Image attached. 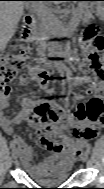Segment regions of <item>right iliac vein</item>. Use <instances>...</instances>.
Returning <instances> with one entry per match:
<instances>
[{
	"instance_id": "1",
	"label": "right iliac vein",
	"mask_w": 104,
	"mask_h": 189,
	"mask_svg": "<svg viewBox=\"0 0 104 189\" xmlns=\"http://www.w3.org/2000/svg\"><path fill=\"white\" fill-rule=\"evenodd\" d=\"M12 156L14 159H17L19 157V151L17 149H14L12 152Z\"/></svg>"
}]
</instances>
